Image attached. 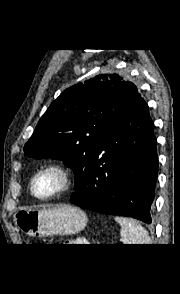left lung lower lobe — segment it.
<instances>
[{
	"mask_svg": "<svg viewBox=\"0 0 180 294\" xmlns=\"http://www.w3.org/2000/svg\"><path fill=\"white\" fill-rule=\"evenodd\" d=\"M157 172L153 122L148 105L138 93L95 151L81 187L70 202L150 224Z\"/></svg>",
	"mask_w": 180,
	"mask_h": 294,
	"instance_id": "1",
	"label": "left lung lower lobe"
}]
</instances>
